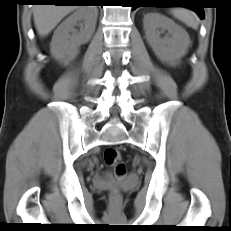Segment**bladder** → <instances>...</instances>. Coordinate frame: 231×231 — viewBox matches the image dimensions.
Here are the masks:
<instances>
[{"instance_id": "bladder-1", "label": "bladder", "mask_w": 231, "mask_h": 231, "mask_svg": "<svg viewBox=\"0 0 231 231\" xmlns=\"http://www.w3.org/2000/svg\"><path fill=\"white\" fill-rule=\"evenodd\" d=\"M104 177H105L106 179H111V178L113 177V175H112L111 173H109V172H106V173L104 174Z\"/></svg>"}]
</instances>
